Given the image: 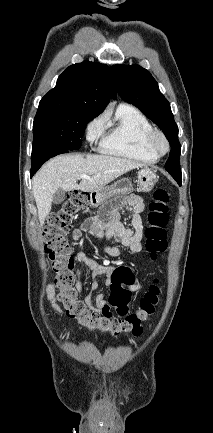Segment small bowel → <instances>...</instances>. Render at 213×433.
Returning a JSON list of instances; mask_svg holds the SVG:
<instances>
[{
    "instance_id": "1",
    "label": "small bowel",
    "mask_w": 213,
    "mask_h": 433,
    "mask_svg": "<svg viewBox=\"0 0 213 433\" xmlns=\"http://www.w3.org/2000/svg\"><path fill=\"white\" fill-rule=\"evenodd\" d=\"M122 210L131 213L129 226L121 222ZM143 210L144 203L142 198L138 195H130L126 198L118 199L99 217L86 219L80 227L73 231L72 238L75 242H79L85 234H88L102 241L104 243V253L112 258L119 257L124 252L139 253L142 251L143 224L141 214ZM113 240H118L121 246L112 245L111 242ZM73 257L75 263L81 265L76 270L77 280L75 288L77 291L83 288V274L87 271L90 272V287L85 297V304L95 311L112 313L113 306L109 300H106L105 293L100 292L96 295L94 294L99 288L100 278H104L105 285L111 288L112 275L116 268L112 265L110 260L99 262L83 251L74 253ZM52 275L53 273H51V276ZM55 285L56 284L53 283L47 285L46 295L54 311L61 313L55 295ZM129 289L132 292H138L142 289V284L134 280Z\"/></svg>"
}]
</instances>
